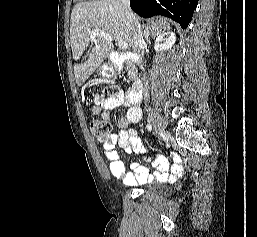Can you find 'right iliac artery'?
I'll return each instance as SVG.
<instances>
[{"label":"right iliac artery","mask_w":257,"mask_h":237,"mask_svg":"<svg viewBox=\"0 0 257 237\" xmlns=\"http://www.w3.org/2000/svg\"><path fill=\"white\" fill-rule=\"evenodd\" d=\"M147 129H148V131H150V132H151V130H152V126H151L150 124H148V125H147Z\"/></svg>","instance_id":"right-iliac-artery-1"}]
</instances>
